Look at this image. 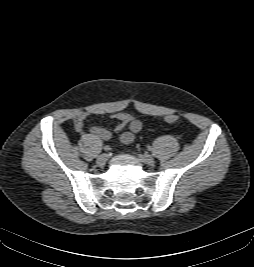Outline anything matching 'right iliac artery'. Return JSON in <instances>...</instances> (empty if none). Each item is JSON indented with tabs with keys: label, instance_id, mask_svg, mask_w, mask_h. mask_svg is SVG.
Returning a JSON list of instances; mask_svg holds the SVG:
<instances>
[{
	"label": "right iliac artery",
	"instance_id": "obj_1",
	"mask_svg": "<svg viewBox=\"0 0 254 267\" xmlns=\"http://www.w3.org/2000/svg\"><path fill=\"white\" fill-rule=\"evenodd\" d=\"M103 149H104L105 151H109L111 148H110V146L106 145V146L103 147Z\"/></svg>",
	"mask_w": 254,
	"mask_h": 267
}]
</instances>
